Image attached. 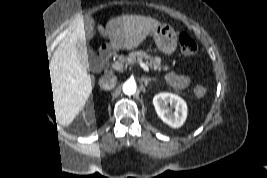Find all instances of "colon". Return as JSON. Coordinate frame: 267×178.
Wrapping results in <instances>:
<instances>
[{
  "label": "colon",
  "mask_w": 267,
  "mask_h": 178,
  "mask_svg": "<svg viewBox=\"0 0 267 178\" xmlns=\"http://www.w3.org/2000/svg\"><path fill=\"white\" fill-rule=\"evenodd\" d=\"M181 42H182V47L184 49L185 52L187 53H193L195 51V44L192 40H190L188 37L183 36L181 38Z\"/></svg>",
  "instance_id": "colon-1"
}]
</instances>
